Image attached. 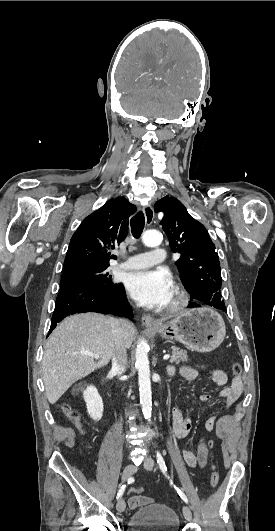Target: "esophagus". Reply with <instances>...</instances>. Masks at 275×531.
<instances>
[{"label":"esophagus","instance_id":"1","mask_svg":"<svg viewBox=\"0 0 275 531\" xmlns=\"http://www.w3.org/2000/svg\"><path fill=\"white\" fill-rule=\"evenodd\" d=\"M143 212L145 215V222L147 225L152 224L154 219V210L150 204L146 205L143 208ZM141 321L143 325H145L147 328H156L159 326V324L149 315V314H143Z\"/></svg>","mask_w":275,"mask_h":531}]
</instances>
